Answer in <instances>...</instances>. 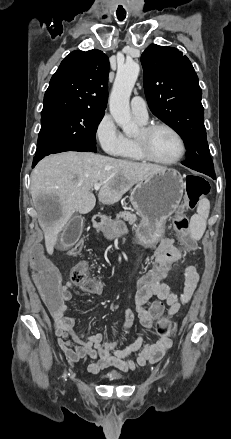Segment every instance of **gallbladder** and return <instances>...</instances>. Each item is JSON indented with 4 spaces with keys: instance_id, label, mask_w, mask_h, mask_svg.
Returning a JSON list of instances; mask_svg holds the SVG:
<instances>
[{
    "instance_id": "obj_1",
    "label": "gallbladder",
    "mask_w": 231,
    "mask_h": 439,
    "mask_svg": "<svg viewBox=\"0 0 231 439\" xmlns=\"http://www.w3.org/2000/svg\"><path fill=\"white\" fill-rule=\"evenodd\" d=\"M84 218L82 216H74L64 227L61 236L60 244L57 245L59 249H68L72 247L75 241L79 240L83 229Z\"/></svg>"
}]
</instances>
